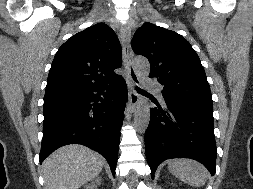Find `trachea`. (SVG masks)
Instances as JSON below:
<instances>
[{
    "label": "trachea",
    "mask_w": 253,
    "mask_h": 189,
    "mask_svg": "<svg viewBox=\"0 0 253 189\" xmlns=\"http://www.w3.org/2000/svg\"><path fill=\"white\" fill-rule=\"evenodd\" d=\"M136 89L139 91V92H144L143 89L139 88V87H136Z\"/></svg>",
    "instance_id": "1"
}]
</instances>
